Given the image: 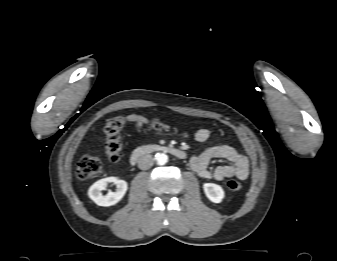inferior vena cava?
Returning <instances> with one entry per match:
<instances>
[{
    "label": "inferior vena cava",
    "mask_w": 337,
    "mask_h": 261,
    "mask_svg": "<svg viewBox=\"0 0 337 261\" xmlns=\"http://www.w3.org/2000/svg\"><path fill=\"white\" fill-rule=\"evenodd\" d=\"M153 166V157L150 154H143L138 159V167L141 170H148Z\"/></svg>",
    "instance_id": "1"
}]
</instances>
